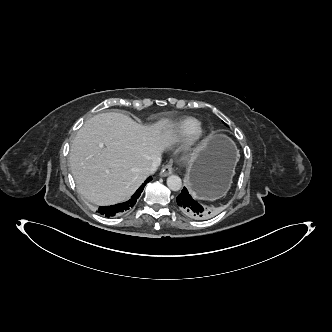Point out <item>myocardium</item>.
<instances>
[{"mask_svg":"<svg viewBox=\"0 0 332 332\" xmlns=\"http://www.w3.org/2000/svg\"><path fill=\"white\" fill-rule=\"evenodd\" d=\"M207 131L204 126L199 125L187 138V150H193L198 147L206 138Z\"/></svg>","mask_w":332,"mask_h":332,"instance_id":"myocardium-1","label":"myocardium"}]
</instances>
